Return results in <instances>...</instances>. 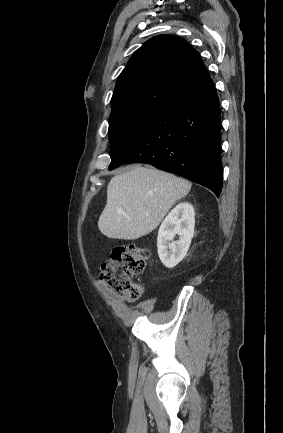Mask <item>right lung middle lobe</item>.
<instances>
[{"label":"right lung middle lobe","instance_id":"obj_1","mask_svg":"<svg viewBox=\"0 0 283 433\" xmlns=\"http://www.w3.org/2000/svg\"><path fill=\"white\" fill-rule=\"evenodd\" d=\"M162 109L147 106H124L113 109L109 118L111 158L121 152L142 128Z\"/></svg>","mask_w":283,"mask_h":433}]
</instances>
